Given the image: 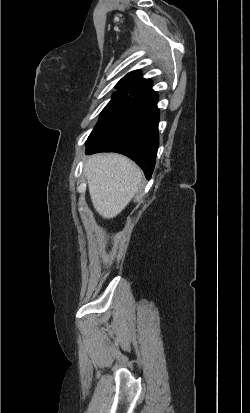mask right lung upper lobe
<instances>
[{
    "label": "right lung upper lobe",
    "instance_id": "cb5924a9",
    "mask_svg": "<svg viewBox=\"0 0 250 413\" xmlns=\"http://www.w3.org/2000/svg\"><path fill=\"white\" fill-rule=\"evenodd\" d=\"M115 88L120 91L116 93L132 94L135 95L136 98L155 94L152 90V81L143 79L138 70L127 74L117 83Z\"/></svg>",
    "mask_w": 250,
    "mask_h": 413
}]
</instances>
